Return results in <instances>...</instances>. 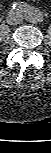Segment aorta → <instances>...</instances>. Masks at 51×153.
<instances>
[{
	"instance_id": "1",
	"label": "aorta",
	"mask_w": 51,
	"mask_h": 153,
	"mask_svg": "<svg viewBox=\"0 0 51 153\" xmlns=\"http://www.w3.org/2000/svg\"><path fill=\"white\" fill-rule=\"evenodd\" d=\"M29 17H30L31 20L36 21V20L39 19L40 14H39L38 11L33 10V11L30 12Z\"/></svg>"
}]
</instances>
